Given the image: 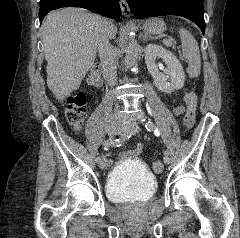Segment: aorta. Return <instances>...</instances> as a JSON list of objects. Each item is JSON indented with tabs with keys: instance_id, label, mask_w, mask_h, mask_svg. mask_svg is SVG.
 Wrapping results in <instances>:
<instances>
[{
	"instance_id": "1",
	"label": "aorta",
	"mask_w": 240,
	"mask_h": 238,
	"mask_svg": "<svg viewBox=\"0 0 240 238\" xmlns=\"http://www.w3.org/2000/svg\"><path fill=\"white\" fill-rule=\"evenodd\" d=\"M139 45L135 39H131L125 49L124 64L129 67L132 66L138 59Z\"/></svg>"
}]
</instances>
